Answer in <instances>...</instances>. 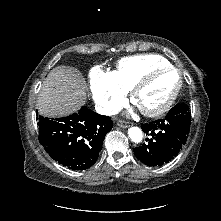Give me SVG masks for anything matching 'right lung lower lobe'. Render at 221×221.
Masks as SVG:
<instances>
[{"mask_svg":"<svg viewBox=\"0 0 221 221\" xmlns=\"http://www.w3.org/2000/svg\"><path fill=\"white\" fill-rule=\"evenodd\" d=\"M39 141L51 158L72 170H85L97 161L110 117L83 106L78 113L57 119L39 117Z\"/></svg>","mask_w":221,"mask_h":221,"instance_id":"right-lung-lower-lobe-1","label":"right lung lower lobe"}]
</instances>
